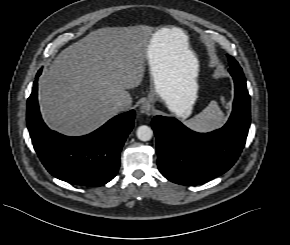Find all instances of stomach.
Returning a JSON list of instances; mask_svg holds the SVG:
<instances>
[{
  "mask_svg": "<svg viewBox=\"0 0 290 245\" xmlns=\"http://www.w3.org/2000/svg\"><path fill=\"white\" fill-rule=\"evenodd\" d=\"M158 44L159 39L155 34L147 50L149 73L155 96L163 100L177 117L186 119L190 116L197 99V76L178 79L173 83L169 71L158 55Z\"/></svg>",
  "mask_w": 290,
  "mask_h": 245,
  "instance_id": "obj_1",
  "label": "stomach"
}]
</instances>
